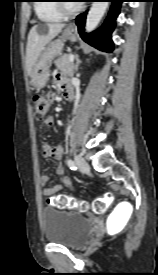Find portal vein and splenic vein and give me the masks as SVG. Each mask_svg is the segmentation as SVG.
Returning a JSON list of instances; mask_svg holds the SVG:
<instances>
[{
  "label": "portal vein and splenic vein",
  "mask_w": 158,
  "mask_h": 275,
  "mask_svg": "<svg viewBox=\"0 0 158 275\" xmlns=\"http://www.w3.org/2000/svg\"><path fill=\"white\" fill-rule=\"evenodd\" d=\"M73 61H74V56L71 55V56H70V62H73Z\"/></svg>",
  "instance_id": "1"
}]
</instances>
